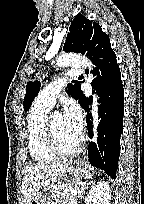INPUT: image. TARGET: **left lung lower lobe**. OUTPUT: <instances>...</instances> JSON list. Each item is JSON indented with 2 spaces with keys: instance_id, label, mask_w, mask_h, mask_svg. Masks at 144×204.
Returning a JSON list of instances; mask_svg holds the SVG:
<instances>
[{
  "instance_id": "0a47b994",
  "label": "left lung lower lobe",
  "mask_w": 144,
  "mask_h": 204,
  "mask_svg": "<svg viewBox=\"0 0 144 204\" xmlns=\"http://www.w3.org/2000/svg\"><path fill=\"white\" fill-rule=\"evenodd\" d=\"M97 77L91 83L100 96L99 118L97 128L98 137L96 143L89 145V161L95 167L104 170L113 179L116 178L118 160L120 155V137L123 132L124 99L121 73L117 60L114 59L107 67L98 66L94 71ZM93 97L85 98L83 95L79 101L85 111L89 112L88 105ZM92 116L87 113L86 120L91 126ZM90 138H92L89 132Z\"/></svg>"
}]
</instances>
